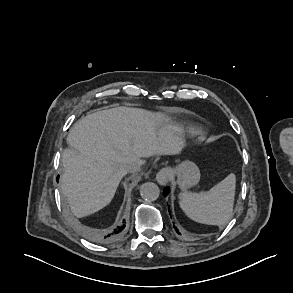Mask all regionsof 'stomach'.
<instances>
[{
    "instance_id": "1",
    "label": "stomach",
    "mask_w": 293,
    "mask_h": 293,
    "mask_svg": "<svg viewBox=\"0 0 293 293\" xmlns=\"http://www.w3.org/2000/svg\"><path fill=\"white\" fill-rule=\"evenodd\" d=\"M177 176V182L181 190H186L195 186L200 180V170L198 166L189 160H186L172 169Z\"/></svg>"
}]
</instances>
